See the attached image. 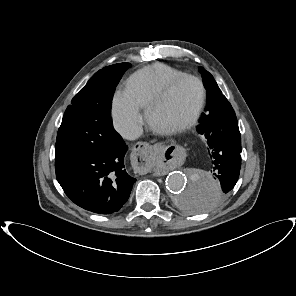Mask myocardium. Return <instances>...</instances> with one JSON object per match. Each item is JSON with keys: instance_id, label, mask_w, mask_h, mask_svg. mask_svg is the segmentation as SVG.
Listing matches in <instances>:
<instances>
[{"instance_id": "myocardium-1", "label": "myocardium", "mask_w": 296, "mask_h": 296, "mask_svg": "<svg viewBox=\"0 0 296 296\" xmlns=\"http://www.w3.org/2000/svg\"><path fill=\"white\" fill-rule=\"evenodd\" d=\"M190 79L195 81L198 84L199 87V98L197 101L196 106L192 110V112L182 121L168 125V126H162L159 125L155 120V111L158 107H160L168 98L171 91L174 89V87L181 82L182 80ZM206 100V89L204 86L203 81L198 78L197 76L191 75V74H182L175 78H173L171 81H169L165 87L158 93V95L150 102V104L147 107V118L148 122L151 125V127L163 134H174L181 132L189 127H191L198 117L201 114V111L203 109L204 103Z\"/></svg>"}]
</instances>
